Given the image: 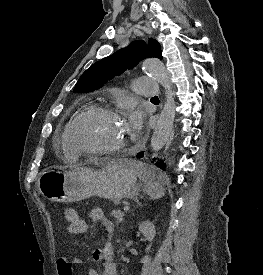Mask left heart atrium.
<instances>
[{"label": "left heart atrium", "instance_id": "39dd6f15", "mask_svg": "<svg viewBox=\"0 0 263 275\" xmlns=\"http://www.w3.org/2000/svg\"><path fill=\"white\" fill-rule=\"evenodd\" d=\"M130 127L133 131H137L140 127V117L138 113H131L130 117Z\"/></svg>", "mask_w": 263, "mask_h": 275}]
</instances>
